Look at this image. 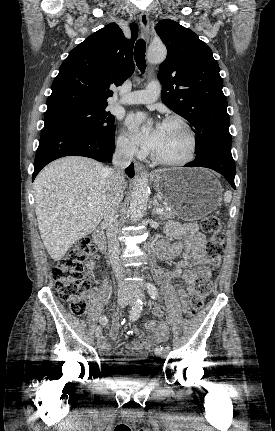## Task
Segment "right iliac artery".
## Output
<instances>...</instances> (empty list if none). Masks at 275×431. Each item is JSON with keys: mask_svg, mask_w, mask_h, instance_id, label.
<instances>
[{"mask_svg": "<svg viewBox=\"0 0 275 431\" xmlns=\"http://www.w3.org/2000/svg\"><path fill=\"white\" fill-rule=\"evenodd\" d=\"M142 310V300L141 299H137L134 306L132 307L131 311H130V315L129 318L132 321L137 320L140 317V313ZM100 323L105 325L108 322V319L106 316H101L99 319Z\"/></svg>", "mask_w": 275, "mask_h": 431, "instance_id": "82829eb1", "label": "right iliac artery"}]
</instances>
